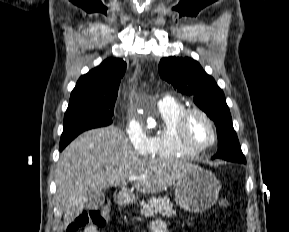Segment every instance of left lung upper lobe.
Returning <instances> with one entry per match:
<instances>
[{"instance_id":"1","label":"left lung upper lobe","mask_w":289,"mask_h":232,"mask_svg":"<svg viewBox=\"0 0 289 232\" xmlns=\"http://www.w3.org/2000/svg\"><path fill=\"white\" fill-rule=\"evenodd\" d=\"M159 74L162 79L171 83L175 90L191 95L194 103L215 122L218 152L214 158L246 162L224 93L200 64L191 58L166 57L159 63Z\"/></svg>"}]
</instances>
